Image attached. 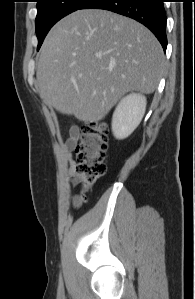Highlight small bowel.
Masks as SVG:
<instances>
[{
	"label": "small bowel",
	"mask_w": 195,
	"mask_h": 299,
	"mask_svg": "<svg viewBox=\"0 0 195 299\" xmlns=\"http://www.w3.org/2000/svg\"><path fill=\"white\" fill-rule=\"evenodd\" d=\"M78 135H79L78 127H75V126L71 127L69 129V137L67 138V140L65 142V149H66L65 157H66V160H67V162L70 166V174L71 175H73L72 168L74 166V160L72 158L71 151L73 150V148L76 145Z\"/></svg>",
	"instance_id": "c3829d8e"
}]
</instances>
